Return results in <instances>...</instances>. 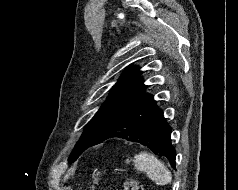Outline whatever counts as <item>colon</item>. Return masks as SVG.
I'll return each mask as SVG.
<instances>
[{
  "label": "colon",
  "instance_id": "obj_1",
  "mask_svg": "<svg viewBox=\"0 0 238 190\" xmlns=\"http://www.w3.org/2000/svg\"><path fill=\"white\" fill-rule=\"evenodd\" d=\"M123 190H143V188L135 179L129 178L125 181Z\"/></svg>",
  "mask_w": 238,
  "mask_h": 190
}]
</instances>
